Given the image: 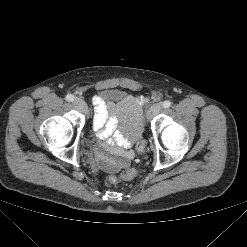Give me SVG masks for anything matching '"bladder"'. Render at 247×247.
<instances>
[{"label":"bladder","instance_id":"obj_1","mask_svg":"<svg viewBox=\"0 0 247 247\" xmlns=\"http://www.w3.org/2000/svg\"><path fill=\"white\" fill-rule=\"evenodd\" d=\"M98 97L106 105H112L118 103L125 95L116 89H105L98 94Z\"/></svg>","mask_w":247,"mask_h":247}]
</instances>
